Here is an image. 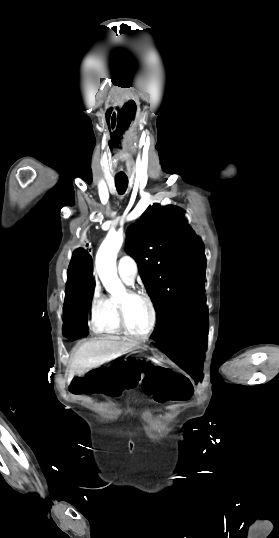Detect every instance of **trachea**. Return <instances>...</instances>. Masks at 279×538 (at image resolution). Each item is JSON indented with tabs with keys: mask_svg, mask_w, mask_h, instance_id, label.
Here are the masks:
<instances>
[{
	"mask_svg": "<svg viewBox=\"0 0 279 538\" xmlns=\"http://www.w3.org/2000/svg\"><path fill=\"white\" fill-rule=\"evenodd\" d=\"M116 189L120 195L124 194L128 187V178L126 176L115 177Z\"/></svg>",
	"mask_w": 279,
	"mask_h": 538,
	"instance_id": "trachea-1",
	"label": "trachea"
}]
</instances>
